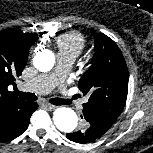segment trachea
Segmentation results:
<instances>
[{
	"mask_svg": "<svg viewBox=\"0 0 153 153\" xmlns=\"http://www.w3.org/2000/svg\"><path fill=\"white\" fill-rule=\"evenodd\" d=\"M15 94L21 97L24 100L27 101H36L37 96L34 93H25V92H20L19 90L15 91ZM76 98V97H74ZM50 103L54 105H68L71 103V100L69 99H61V98H52L50 99Z\"/></svg>",
	"mask_w": 153,
	"mask_h": 153,
	"instance_id": "obj_1",
	"label": "trachea"
}]
</instances>
